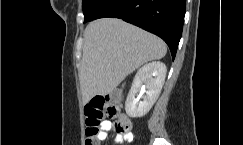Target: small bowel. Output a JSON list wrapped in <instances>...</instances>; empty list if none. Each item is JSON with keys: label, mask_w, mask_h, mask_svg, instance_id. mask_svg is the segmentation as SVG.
Returning <instances> with one entry per match:
<instances>
[{"label": "small bowel", "mask_w": 243, "mask_h": 145, "mask_svg": "<svg viewBox=\"0 0 243 145\" xmlns=\"http://www.w3.org/2000/svg\"><path fill=\"white\" fill-rule=\"evenodd\" d=\"M120 117L127 118L125 115L120 114ZM128 119V118H127ZM129 121V119H128ZM130 122V121H129ZM113 128V122L110 120H105L102 122L101 129L97 135V139L103 141L107 138L108 132ZM133 133L130 130H127L123 133H118L115 136V141L117 142H131L133 140Z\"/></svg>", "instance_id": "c3829d8e"}]
</instances>
